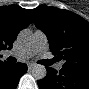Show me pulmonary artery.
Listing matches in <instances>:
<instances>
[{
	"mask_svg": "<svg viewBox=\"0 0 89 89\" xmlns=\"http://www.w3.org/2000/svg\"><path fill=\"white\" fill-rule=\"evenodd\" d=\"M35 36L38 38V43L33 48V51H40V50L46 49L47 46H46L45 36L39 32H37ZM61 66H62V64H58L57 68L60 69Z\"/></svg>",
	"mask_w": 89,
	"mask_h": 89,
	"instance_id": "pulmonary-artery-1",
	"label": "pulmonary artery"
}]
</instances>
